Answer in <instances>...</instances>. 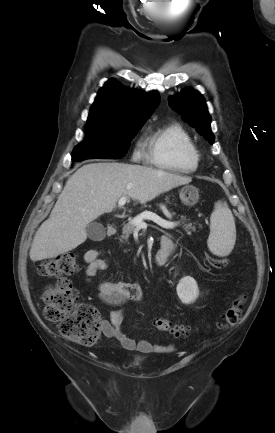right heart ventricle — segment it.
Returning <instances> with one entry per match:
<instances>
[{
    "label": "right heart ventricle",
    "mask_w": 275,
    "mask_h": 433,
    "mask_svg": "<svg viewBox=\"0 0 275 433\" xmlns=\"http://www.w3.org/2000/svg\"><path fill=\"white\" fill-rule=\"evenodd\" d=\"M146 157L156 167L192 173L197 170L199 154L188 131L179 123L152 130L146 138Z\"/></svg>",
    "instance_id": "obj_1"
}]
</instances>
